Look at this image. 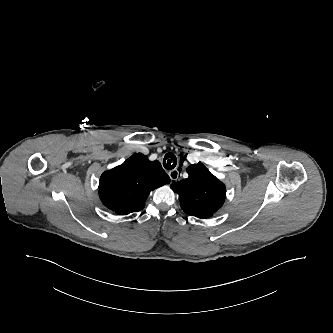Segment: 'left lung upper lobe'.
<instances>
[{
    "instance_id": "5c2ea615",
    "label": "left lung upper lobe",
    "mask_w": 333,
    "mask_h": 333,
    "mask_svg": "<svg viewBox=\"0 0 333 333\" xmlns=\"http://www.w3.org/2000/svg\"><path fill=\"white\" fill-rule=\"evenodd\" d=\"M187 173V179L170 186L179 194L181 208L188 215L212 216L224 203L225 185L201 163L190 165Z\"/></svg>"
}]
</instances>
